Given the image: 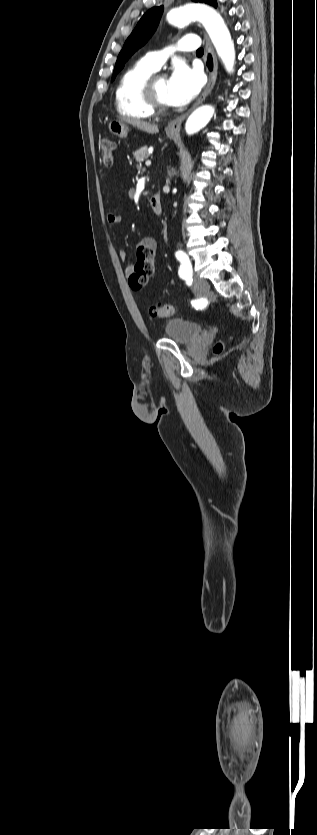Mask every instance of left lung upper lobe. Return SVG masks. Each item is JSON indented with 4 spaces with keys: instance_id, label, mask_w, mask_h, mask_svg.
Instances as JSON below:
<instances>
[{
    "instance_id": "5c2ea615",
    "label": "left lung upper lobe",
    "mask_w": 317,
    "mask_h": 835,
    "mask_svg": "<svg viewBox=\"0 0 317 835\" xmlns=\"http://www.w3.org/2000/svg\"><path fill=\"white\" fill-rule=\"evenodd\" d=\"M193 2L197 3H205L212 5L213 7H217L216 0H192ZM163 13V6L153 7L148 10L142 18L139 20L137 26L131 33V35L126 40L123 49L119 53L117 58V62L115 65V69L113 72V77L117 75V73L124 67L125 62L131 57V55L137 51L140 47H142L148 39L153 35L154 31L156 30L160 18Z\"/></svg>"
}]
</instances>
